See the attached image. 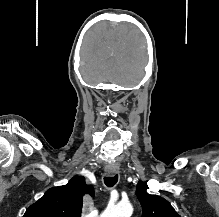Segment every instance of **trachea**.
I'll return each mask as SVG.
<instances>
[{"mask_svg":"<svg viewBox=\"0 0 219 217\" xmlns=\"http://www.w3.org/2000/svg\"><path fill=\"white\" fill-rule=\"evenodd\" d=\"M118 181V175L104 177V183L107 187H113Z\"/></svg>","mask_w":219,"mask_h":217,"instance_id":"trachea-1","label":"trachea"}]
</instances>
